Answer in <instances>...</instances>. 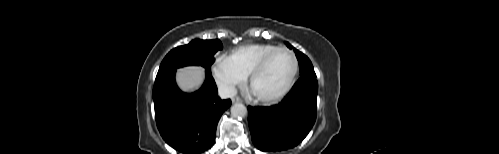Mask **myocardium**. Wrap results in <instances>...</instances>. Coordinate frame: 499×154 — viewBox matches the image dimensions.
<instances>
[{
  "label": "myocardium",
  "instance_id": "1",
  "mask_svg": "<svg viewBox=\"0 0 499 154\" xmlns=\"http://www.w3.org/2000/svg\"><path fill=\"white\" fill-rule=\"evenodd\" d=\"M279 52H285L288 55H290V57L293 60V70H292V73H291V76H290L288 82L286 83L284 88L279 93H277L276 95L271 96V97L256 96L258 101H260L264 104H274V103L280 101L283 97H285L288 94V92L291 90V88L295 82L297 73H298L299 63H298V59L295 56V54L291 50H289L285 47H278L275 50L268 53L265 57H263L262 60L250 72V74L248 75L249 87L251 88L253 81L265 70V68H266L267 64L269 63V61L271 60V58Z\"/></svg>",
  "mask_w": 499,
  "mask_h": 154
}]
</instances>
